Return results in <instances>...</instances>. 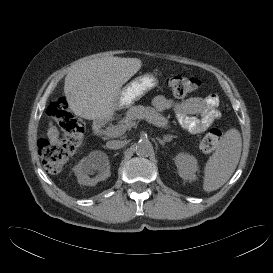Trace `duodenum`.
Wrapping results in <instances>:
<instances>
[{"label":"duodenum","instance_id":"duodenum-1","mask_svg":"<svg viewBox=\"0 0 273 273\" xmlns=\"http://www.w3.org/2000/svg\"><path fill=\"white\" fill-rule=\"evenodd\" d=\"M102 129V125L100 121H96L94 125V132L99 133Z\"/></svg>","mask_w":273,"mask_h":273}]
</instances>
